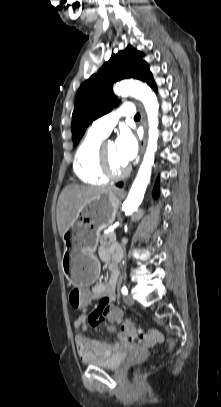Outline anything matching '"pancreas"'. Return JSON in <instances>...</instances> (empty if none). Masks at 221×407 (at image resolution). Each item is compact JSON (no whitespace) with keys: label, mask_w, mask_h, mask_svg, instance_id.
<instances>
[{"label":"pancreas","mask_w":221,"mask_h":407,"mask_svg":"<svg viewBox=\"0 0 221 407\" xmlns=\"http://www.w3.org/2000/svg\"><path fill=\"white\" fill-rule=\"evenodd\" d=\"M116 236L114 231L108 232L106 234H103L102 236L99 237V242L101 246H110L113 242H115Z\"/></svg>","instance_id":"pancreas-1"}]
</instances>
